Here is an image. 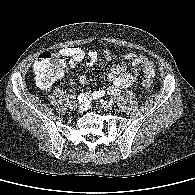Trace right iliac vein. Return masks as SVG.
<instances>
[{
  "mask_svg": "<svg viewBox=\"0 0 195 195\" xmlns=\"http://www.w3.org/2000/svg\"><path fill=\"white\" fill-rule=\"evenodd\" d=\"M69 105L72 109H75L78 106V102L76 100H72Z\"/></svg>",
  "mask_w": 195,
  "mask_h": 195,
  "instance_id": "right-iliac-vein-1",
  "label": "right iliac vein"
}]
</instances>
